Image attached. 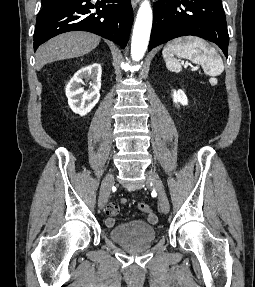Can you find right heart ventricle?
Masks as SVG:
<instances>
[{
	"instance_id": "obj_1",
	"label": "right heart ventricle",
	"mask_w": 255,
	"mask_h": 287,
	"mask_svg": "<svg viewBox=\"0 0 255 287\" xmlns=\"http://www.w3.org/2000/svg\"><path fill=\"white\" fill-rule=\"evenodd\" d=\"M102 48H123V47H102Z\"/></svg>"
}]
</instances>
